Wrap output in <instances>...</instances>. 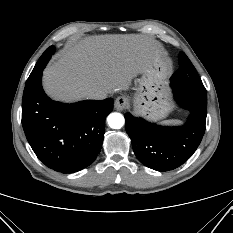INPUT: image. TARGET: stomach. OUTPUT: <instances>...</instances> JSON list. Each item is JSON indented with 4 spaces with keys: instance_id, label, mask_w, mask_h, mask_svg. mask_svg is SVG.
<instances>
[{
    "instance_id": "obj_1",
    "label": "stomach",
    "mask_w": 233,
    "mask_h": 233,
    "mask_svg": "<svg viewBox=\"0 0 233 233\" xmlns=\"http://www.w3.org/2000/svg\"><path fill=\"white\" fill-rule=\"evenodd\" d=\"M169 64L158 51L140 79L136 80L133 103L139 113L153 119L167 115L171 107L166 98Z\"/></svg>"
}]
</instances>
